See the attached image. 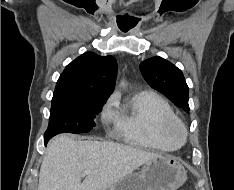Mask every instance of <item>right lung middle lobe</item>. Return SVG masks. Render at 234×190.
I'll list each match as a JSON object with an SVG mask.
<instances>
[{
    "label": "right lung middle lobe",
    "mask_w": 234,
    "mask_h": 190,
    "mask_svg": "<svg viewBox=\"0 0 234 190\" xmlns=\"http://www.w3.org/2000/svg\"><path fill=\"white\" fill-rule=\"evenodd\" d=\"M106 100L55 93L52 98L49 126L44 139L59 133H85L95 126V118Z\"/></svg>",
    "instance_id": "obj_1"
}]
</instances>
